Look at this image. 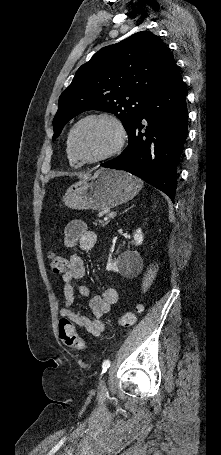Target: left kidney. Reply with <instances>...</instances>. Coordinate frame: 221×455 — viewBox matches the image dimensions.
I'll use <instances>...</instances> for the list:
<instances>
[{
  "instance_id": "1",
  "label": "left kidney",
  "mask_w": 221,
  "mask_h": 455,
  "mask_svg": "<svg viewBox=\"0 0 221 455\" xmlns=\"http://www.w3.org/2000/svg\"><path fill=\"white\" fill-rule=\"evenodd\" d=\"M134 242L136 246L142 244L144 236L141 229H137L133 235ZM140 261V255L137 251H127L118 256L117 259L113 260L111 255H109L106 269L107 271L114 272H128L133 270Z\"/></svg>"
}]
</instances>
